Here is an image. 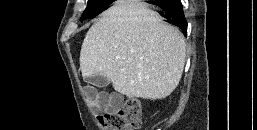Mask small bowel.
<instances>
[{
  "label": "small bowel",
  "mask_w": 257,
  "mask_h": 130,
  "mask_svg": "<svg viewBox=\"0 0 257 130\" xmlns=\"http://www.w3.org/2000/svg\"><path fill=\"white\" fill-rule=\"evenodd\" d=\"M90 105L99 111H108L118 107L121 103V97L117 94L107 92H98L93 89V93L87 95Z\"/></svg>",
  "instance_id": "obj_1"
}]
</instances>
